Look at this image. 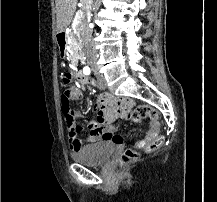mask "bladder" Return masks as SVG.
I'll return each mask as SVG.
<instances>
[{"label":"bladder","instance_id":"31cf9c89","mask_svg":"<svg viewBox=\"0 0 217 202\" xmlns=\"http://www.w3.org/2000/svg\"><path fill=\"white\" fill-rule=\"evenodd\" d=\"M115 146L112 142H101L81 148L73 154V158L82 162L86 166L102 164L103 161L111 157Z\"/></svg>","mask_w":217,"mask_h":202}]
</instances>
